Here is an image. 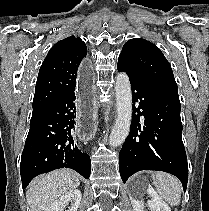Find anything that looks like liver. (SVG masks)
Listing matches in <instances>:
<instances>
[{
  "label": "liver",
  "instance_id": "1",
  "mask_svg": "<svg viewBox=\"0 0 209 211\" xmlns=\"http://www.w3.org/2000/svg\"><path fill=\"white\" fill-rule=\"evenodd\" d=\"M79 176L72 170L60 169L35 178L27 191L26 199L31 211H45L57 198L76 189Z\"/></svg>",
  "mask_w": 209,
  "mask_h": 211
}]
</instances>
